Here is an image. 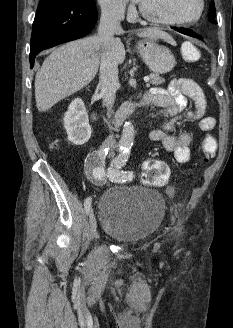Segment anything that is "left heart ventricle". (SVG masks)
I'll return each mask as SVG.
<instances>
[{
	"instance_id": "obj_1",
	"label": "left heart ventricle",
	"mask_w": 233,
	"mask_h": 328,
	"mask_svg": "<svg viewBox=\"0 0 233 328\" xmlns=\"http://www.w3.org/2000/svg\"><path fill=\"white\" fill-rule=\"evenodd\" d=\"M150 14L169 20H189L198 11V0H141Z\"/></svg>"
}]
</instances>
